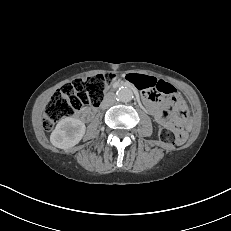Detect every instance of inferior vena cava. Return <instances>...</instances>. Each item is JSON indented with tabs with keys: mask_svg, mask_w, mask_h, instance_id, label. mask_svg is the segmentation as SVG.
Here are the masks:
<instances>
[{
	"mask_svg": "<svg viewBox=\"0 0 231 231\" xmlns=\"http://www.w3.org/2000/svg\"><path fill=\"white\" fill-rule=\"evenodd\" d=\"M115 103V98L113 95H107L104 99V104L106 107H109Z\"/></svg>",
	"mask_w": 231,
	"mask_h": 231,
	"instance_id": "1",
	"label": "inferior vena cava"
}]
</instances>
